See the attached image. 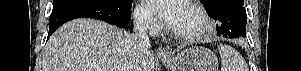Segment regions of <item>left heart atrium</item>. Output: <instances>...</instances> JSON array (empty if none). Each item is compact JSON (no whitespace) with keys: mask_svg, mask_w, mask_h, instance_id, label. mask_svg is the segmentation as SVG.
<instances>
[{"mask_svg":"<svg viewBox=\"0 0 301 71\" xmlns=\"http://www.w3.org/2000/svg\"><path fill=\"white\" fill-rule=\"evenodd\" d=\"M149 10L157 14L168 26L174 28L182 10V0H145Z\"/></svg>","mask_w":301,"mask_h":71,"instance_id":"1","label":"left heart atrium"}]
</instances>
